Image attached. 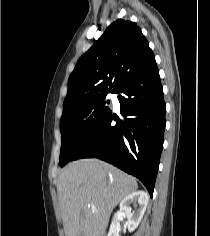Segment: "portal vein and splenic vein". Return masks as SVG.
<instances>
[{
  "label": "portal vein and splenic vein",
  "mask_w": 210,
  "mask_h": 236,
  "mask_svg": "<svg viewBox=\"0 0 210 236\" xmlns=\"http://www.w3.org/2000/svg\"><path fill=\"white\" fill-rule=\"evenodd\" d=\"M91 208H92V210H95V206L94 205H91Z\"/></svg>",
  "instance_id": "portal-vein-and-splenic-vein-1"
}]
</instances>
